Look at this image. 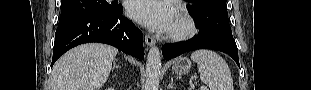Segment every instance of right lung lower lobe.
<instances>
[{
  "instance_id": "1",
  "label": "right lung lower lobe",
  "mask_w": 311,
  "mask_h": 90,
  "mask_svg": "<svg viewBox=\"0 0 311 90\" xmlns=\"http://www.w3.org/2000/svg\"><path fill=\"white\" fill-rule=\"evenodd\" d=\"M122 13L119 5L111 13L83 14L61 22L55 34L51 66L70 48L88 42L110 44L142 60L143 34Z\"/></svg>"
}]
</instances>
